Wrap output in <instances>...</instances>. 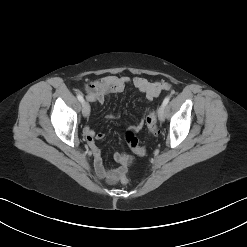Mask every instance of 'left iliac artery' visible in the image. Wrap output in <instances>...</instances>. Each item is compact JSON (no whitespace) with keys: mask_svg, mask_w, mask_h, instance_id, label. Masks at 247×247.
Returning a JSON list of instances; mask_svg holds the SVG:
<instances>
[{"mask_svg":"<svg viewBox=\"0 0 247 247\" xmlns=\"http://www.w3.org/2000/svg\"><path fill=\"white\" fill-rule=\"evenodd\" d=\"M170 98L169 97H166L162 103L163 106H166L169 102Z\"/></svg>","mask_w":247,"mask_h":247,"instance_id":"1","label":"left iliac artery"}]
</instances>
